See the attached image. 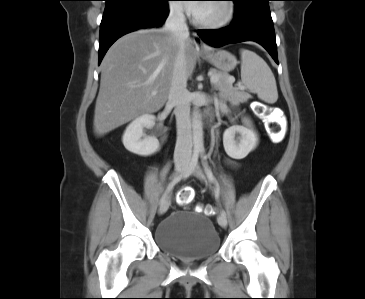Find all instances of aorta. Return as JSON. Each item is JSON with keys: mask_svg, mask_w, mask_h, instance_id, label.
<instances>
[{"mask_svg": "<svg viewBox=\"0 0 365 299\" xmlns=\"http://www.w3.org/2000/svg\"><path fill=\"white\" fill-rule=\"evenodd\" d=\"M192 135H193V144L195 148L202 149L203 148V127L199 105L195 104L193 112H192Z\"/></svg>", "mask_w": 365, "mask_h": 299, "instance_id": "762f6f07", "label": "aorta"}]
</instances>
